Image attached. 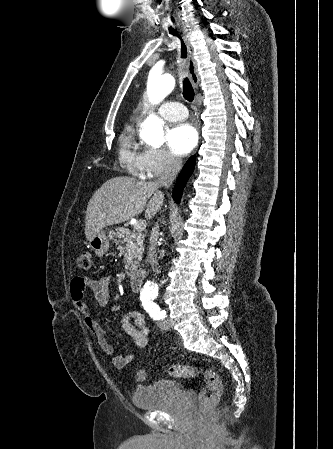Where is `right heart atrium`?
<instances>
[{"label":"right heart atrium","mask_w":333,"mask_h":449,"mask_svg":"<svg viewBox=\"0 0 333 449\" xmlns=\"http://www.w3.org/2000/svg\"><path fill=\"white\" fill-rule=\"evenodd\" d=\"M137 165L143 177L154 179L176 172L181 162L166 149L146 148L138 154Z\"/></svg>","instance_id":"1"}]
</instances>
